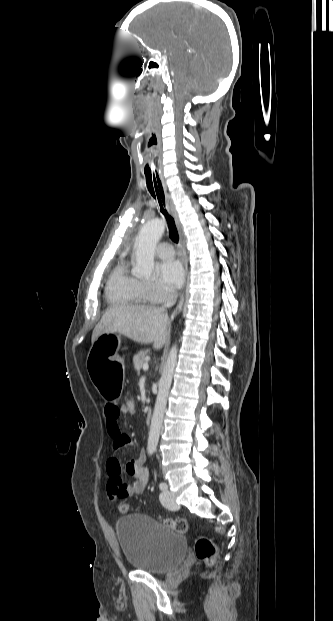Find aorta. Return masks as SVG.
<instances>
[{"label":"aorta","instance_id":"obj_1","mask_svg":"<svg viewBox=\"0 0 333 621\" xmlns=\"http://www.w3.org/2000/svg\"><path fill=\"white\" fill-rule=\"evenodd\" d=\"M165 230V223L161 219L147 221L140 229L135 241L137 266L135 274L146 279L151 278L154 270V254L156 244ZM177 345L170 348L169 355L158 383V394L151 420L148 437L147 452L152 455L157 448L163 417L166 410L167 398L172 384L174 370L177 364Z\"/></svg>","mask_w":333,"mask_h":621}]
</instances>
